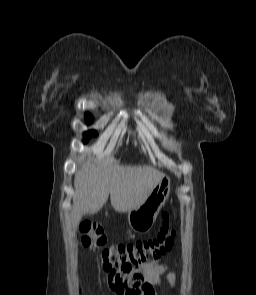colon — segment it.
<instances>
[{
	"instance_id": "5ec220e1",
	"label": "colon",
	"mask_w": 256,
	"mask_h": 295,
	"mask_svg": "<svg viewBox=\"0 0 256 295\" xmlns=\"http://www.w3.org/2000/svg\"><path fill=\"white\" fill-rule=\"evenodd\" d=\"M80 230V244L92 251H100L99 266L106 272L137 269L160 259L171 250L175 235L168 209L162 211L160 231L151 239L105 247L106 235L101 225L86 221Z\"/></svg>"
}]
</instances>
